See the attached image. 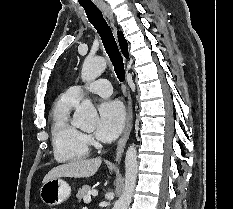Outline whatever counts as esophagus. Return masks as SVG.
<instances>
[{
  "mask_svg": "<svg viewBox=\"0 0 233 209\" xmlns=\"http://www.w3.org/2000/svg\"><path fill=\"white\" fill-rule=\"evenodd\" d=\"M100 9L104 13V15L108 18V20L111 21V23L114 25V16L113 12L110 8L109 5L103 4L99 5ZM133 126V108H132V97L130 92H128V114H127V121H126V126L123 132L122 137L120 138L118 145H117V150H116V156H115V161L118 162L121 159L123 150L125 148L126 142L129 138L131 129Z\"/></svg>",
  "mask_w": 233,
  "mask_h": 209,
  "instance_id": "34e87169",
  "label": "esophagus"
}]
</instances>
